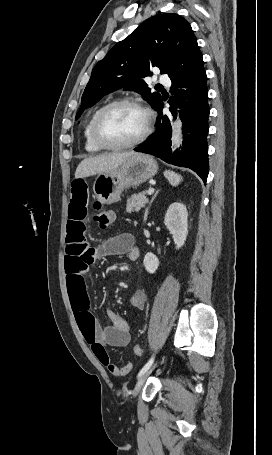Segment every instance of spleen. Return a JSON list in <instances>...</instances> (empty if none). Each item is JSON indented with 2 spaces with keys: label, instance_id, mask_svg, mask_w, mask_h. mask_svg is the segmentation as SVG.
Returning <instances> with one entry per match:
<instances>
[{
  "label": "spleen",
  "instance_id": "obj_1",
  "mask_svg": "<svg viewBox=\"0 0 272 455\" xmlns=\"http://www.w3.org/2000/svg\"><path fill=\"white\" fill-rule=\"evenodd\" d=\"M164 175L165 177L169 180V183L172 185V186H177L179 185V183L181 182L182 180V177L181 175L173 172V171H165L164 172Z\"/></svg>",
  "mask_w": 272,
  "mask_h": 455
}]
</instances>
